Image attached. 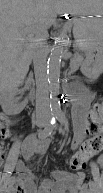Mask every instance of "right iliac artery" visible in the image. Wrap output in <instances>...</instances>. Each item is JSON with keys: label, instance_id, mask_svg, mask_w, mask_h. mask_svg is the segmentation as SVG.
Here are the masks:
<instances>
[{"label": "right iliac artery", "instance_id": "right-iliac-artery-1", "mask_svg": "<svg viewBox=\"0 0 103 193\" xmlns=\"http://www.w3.org/2000/svg\"><path fill=\"white\" fill-rule=\"evenodd\" d=\"M56 118H57L56 114H52L50 123L43 130L38 132L39 138H46L52 133V131L55 127V124H56Z\"/></svg>", "mask_w": 103, "mask_h": 193}]
</instances>
